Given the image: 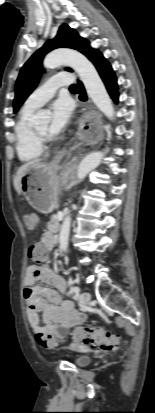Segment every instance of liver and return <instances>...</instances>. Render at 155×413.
Instances as JSON below:
<instances>
[{
    "label": "liver",
    "mask_w": 155,
    "mask_h": 413,
    "mask_svg": "<svg viewBox=\"0 0 155 413\" xmlns=\"http://www.w3.org/2000/svg\"><path fill=\"white\" fill-rule=\"evenodd\" d=\"M38 162H39V160H34V161H31V162H27V163L23 164V165L18 169V171H17V173H16V175H15V177H14V181H13V182H14V188H15V190L17 191L18 194L21 193V178H22V176L24 175V173L26 172V170H27L29 167L35 165V164L38 163Z\"/></svg>",
    "instance_id": "1"
}]
</instances>
